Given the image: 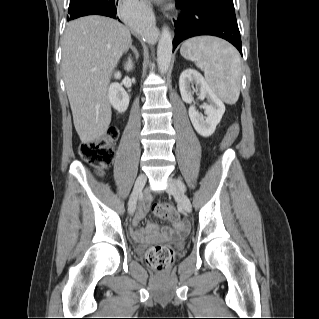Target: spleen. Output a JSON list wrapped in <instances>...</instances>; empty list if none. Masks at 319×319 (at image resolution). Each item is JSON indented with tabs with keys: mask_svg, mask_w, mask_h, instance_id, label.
<instances>
[{
	"mask_svg": "<svg viewBox=\"0 0 319 319\" xmlns=\"http://www.w3.org/2000/svg\"><path fill=\"white\" fill-rule=\"evenodd\" d=\"M181 55L204 71L210 89L225 103L235 104L241 85V60L238 51L226 41L211 36L186 40Z\"/></svg>",
	"mask_w": 319,
	"mask_h": 319,
	"instance_id": "obj_1",
	"label": "spleen"
}]
</instances>
